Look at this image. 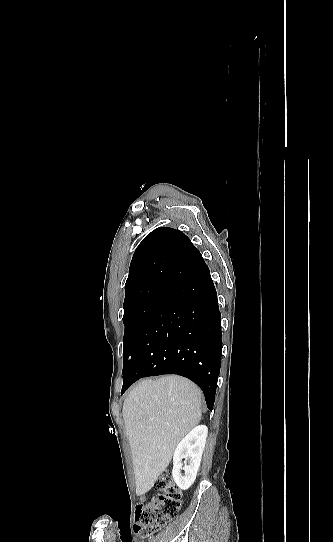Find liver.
<instances>
[{"label": "liver", "mask_w": 333, "mask_h": 542, "mask_svg": "<svg viewBox=\"0 0 333 542\" xmlns=\"http://www.w3.org/2000/svg\"><path fill=\"white\" fill-rule=\"evenodd\" d=\"M136 496H144L169 466L180 440L199 424L201 390L182 376L142 380L123 404Z\"/></svg>", "instance_id": "liver-1"}]
</instances>
